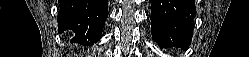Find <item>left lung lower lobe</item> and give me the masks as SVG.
Here are the masks:
<instances>
[{"label": "left lung lower lobe", "mask_w": 249, "mask_h": 57, "mask_svg": "<svg viewBox=\"0 0 249 57\" xmlns=\"http://www.w3.org/2000/svg\"><path fill=\"white\" fill-rule=\"evenodd\" d=\"M151 32L159 47L187 49L193 34L196 14L194 0H150Z\"/></svg>", "instance_id": "0a47b994"}]
</instances>
